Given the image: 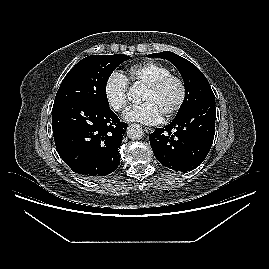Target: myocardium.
<instances>
[{
  "label": "myocardium",
  "mask_w": 269,
  "mask_h": 269,
  "mask_svg": "<svg viewBox=\"0 0 269 269\" xmlns=\"http://www.w3.org/2000/svg\"><path fill=\"white\" fill-rule=\"evenodd\" d=\"M170 81H176L178 83L180 87V97L175 106L167 114H165V116H163L164 120H169L174 117L184 106L188 94L187 84L182 76L170 73L157 79L156 81L147 86V89H149L150 91L158 92Z\"/></svg>",
  "instance_id": "myocardium-1"
}]
</instances>
